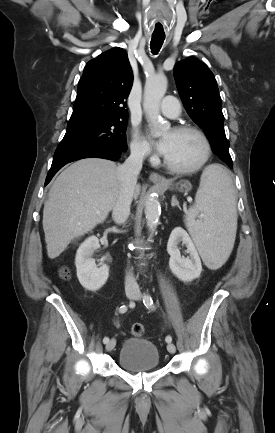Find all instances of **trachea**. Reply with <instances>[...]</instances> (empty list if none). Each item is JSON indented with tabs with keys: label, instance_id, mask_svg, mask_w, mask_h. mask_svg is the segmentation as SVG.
Returning a JSON list of instances; mask_svg holds the SVG:
<instances>
[{
	"label": "trachea",
	"instance_id": "3493384b",
	"mask_svg": "<svg viewBox=\"0 0 275 433\" xmlns=\"http://www.w3.org/2000/svg\"><path fill=\"white\" fill-rule=\"evenodd\" d=\"M165 36L163 35H152L150 47L154 55H156L164 42Z\"/></svg>",
	"mask_w": 275,
	"mask_h": 433
}]
</instances>
